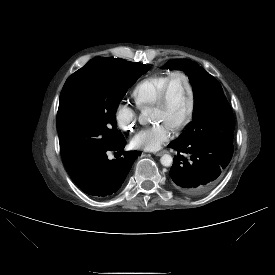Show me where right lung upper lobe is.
I'll return each mask as SVG.
<instances>
[{
  "instance_id": "1",
  "label": "right lung upper lobe",
  "mask_w": 275,
  "mask_h": 275,
  "mask_svg": "<svg viewBox=\"0 0 275 275\" xmlns=\"http://www.w3.org/2000/svg\"><path fill=\"white\" fill-rule=\"evenodd\" d=\"M97 60H121V59H119V58H114V57H108V58H105V57H96V58L90 60V61L87 63V65L90 64V63H92V62H94V61H97ZM69 164H70V162L67 163V164H65V165H69Z\"/></svg>"
}]
</instances>
